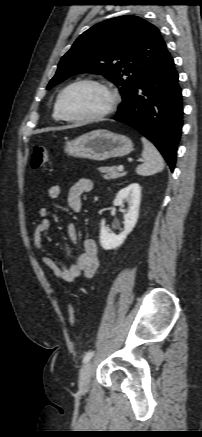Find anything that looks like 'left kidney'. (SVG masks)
I'll use <instances>...</instances> for the list:
<instances>
[{"label":"left kidney","mask_w":202,"mask_h":437,"mask_svg":"<svg viewBox=\"0 0 202 437\" xmlns=\"http://www.w3.org/2000/svg\"><path fill=\"white\" fill-rule=\"evenodd\" d=\"M124 200L128 202L129 207L124 214V230L119 235L114 234L105 226L104 219L101 221L99 238L100 244L105 250L115 249L122 245L127 235L133 230L137 223L141 200V187L138 183H132L121 189L117 193L113 205L123 207Z\"/></svg>","instance_id":"left-kidney-1"}]
</instances>
